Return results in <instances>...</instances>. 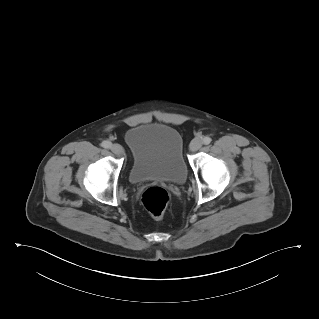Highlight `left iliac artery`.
Listing matches in <instances>:
<instances>
[{
    "label": "left iliac artery",
    "instance_id": "1",
    "mask_svg": "<svg viewBox=\"0 0 319 319\" xmlns=\"http://www.w3.org/2000/svg\"><path fill=\"white\" fill-rule=\"evenodd\" d=\"M211 141H212V139H211L210 137H208V136H206V137L203 138V143H204L205 145L210 144Z\"/></svg>",
    "mask_w": 319,
    "mask_h": 319
}]
</instances>
